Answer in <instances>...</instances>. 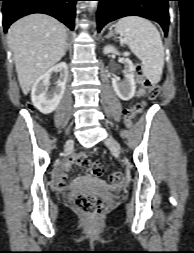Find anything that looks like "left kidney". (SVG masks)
Instances as JSON below:
<instances>
[{"mask_svg":"<svg viewBox=\"0 0 194 253\" xmlns=\"http://www.w3.org/2000/svg\"><path fill=\"white\" fill-rule=\"evenodd\" d=\"M117 53L116 49L107 45L104 47V54ZM124 79L112 78V86L118 97L124 101L130 100L136 91L135 85V67L132 61L128 58L124 59Z\"/></svg>","mask_w":194,"mask_h":253,"instance_id":"1","label":"left kidney"}]
</instances>
